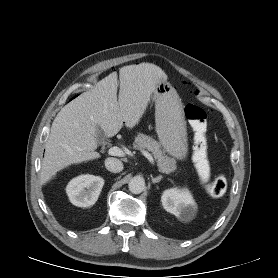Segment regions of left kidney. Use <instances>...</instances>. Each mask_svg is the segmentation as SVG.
Instances as JSON below:
<instances>
[{"label": "left kidney", "instance_id": "left-kidney-1", "mask_svg": "<svg viewBox=\"0 0 278 278\" xmlns=\"http://www.w3.org/2000/svg\"><path fill=\"white\" fill-rule=\"evenodd\" d=\"M161 201L167 212L172 213L184 222L192 220L197 211V205L187 188L165 190Z\"/></svg>", "mask_w": 278, "mask_h": 278}]
</instances>
